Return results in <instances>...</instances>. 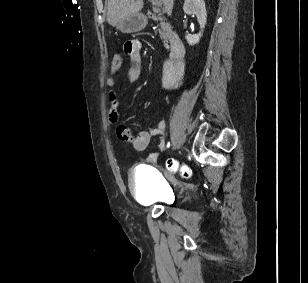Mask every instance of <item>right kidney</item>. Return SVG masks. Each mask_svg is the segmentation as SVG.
<instances>
[{"mask_svg": "<svg viewBox=\"0 0 308 283\" xmlns=\"http://www.w3.org/2000/svg\"><path fill=\"white\" fill-rule=\"evenodd\" d=\"M183 11L188 15H196L201 31L197 35H186L189 45L197 44L207 23V12L204 0H185Z\"/></svg>", "mask_w": 308, "mask_h": 283, "instance_id": "ca27d5eb", "label": "right kidney"}]
</instances>
